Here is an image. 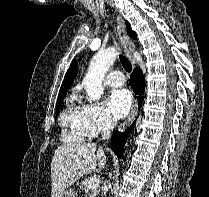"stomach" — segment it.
I'll list each match as a JSON object with an SVG mask.
<instances>
[{"mask_svg": "<svg viewBox=\"0 0 209 197\" xmlns=\"http://www.w3.org/2000/svg\"><path fill=\"white\" fill-rule=\"evenodd\" d=\"M58 197H78L74 190H65Z\"/></svg>", "mask_w": 209, "mask_h": 197, "instance_id": "obj_1", "label": "stomach"}]
</instances>
